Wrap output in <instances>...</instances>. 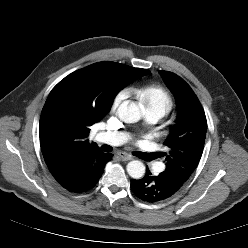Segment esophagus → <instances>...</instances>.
I'll use <instances>...</instances> for the list:
<instances>
[{
  "label": "esophagus",
  "mask_w": 248,
  "mask_h": 248,
  "mask_svg": "<svg viewBox=\"0 0 248 248\" xmlns=\"http://www.w3.org/2000/svg\"><path fill=\"white\" fill-rule=\"evenodd\" d=\"M117 155L123 161H129V160L133 159V157L131 155H129L128 153H125V152H119Z\"/></svg>",
  "instance_id": "34e87169"
}]
</instances>
